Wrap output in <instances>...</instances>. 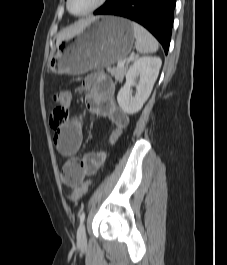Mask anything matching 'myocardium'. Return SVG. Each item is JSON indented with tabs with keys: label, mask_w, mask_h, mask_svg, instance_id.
<instances>
[{
	"label": "myocardium",
	"mask_w": 227,
	"mask_h": 265,
	"mask_svg": "<svg viewBox=\"0 0 227 265\" xmlns=\"http://www.w3.org/2000/svg\"><path fill=\"white\" fill-rule=\"evenodd\" d=\"M70 2H71V0H66V8H67L68 12L73 16L83 17V16H87V15L95 12L96 10H98L100 7H102L107 2V0H97V2L91 8H89L88 10H86L85 12H82V13L72 12L70 9Z\"/></svg>",
	"instance_id": "myocardium-1"
}]
</instances>
